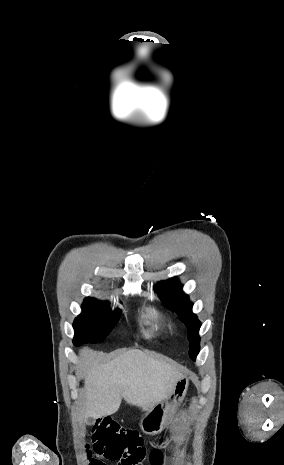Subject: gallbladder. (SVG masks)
I'll return each mask as SVG.
<instances>
[{
  "label": "gallbladder",
  "instance_id": "1",
  "mask_svg": "<svg viewBox=\"0 0 284 465\" xmlns=\"http://www.w3.org/2000/svg\"><path fill=\"white\" fill-rule=\"evenodd\" d=\"M86 425H94V419H93V417H89V419H87Z\"/></svg>",
  "mask_w": 284,
  "mask_h": 465
}]
</instances>
